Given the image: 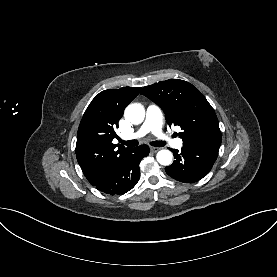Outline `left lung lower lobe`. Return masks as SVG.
Wrapping results in <instances>:
<instances>
[{
	"label": "left lung lower lobe",
	"mask_w": 277,
	"mask_h": 277,
	"mask_svg": "<svg viewBox=\"0 0 277 277\" xmlns=\"http://www.w3.org/2000/svg\"><path fill=\"white\" fill-rule=\"evenodd\" d=\"M220 145L221 141L183 144L181 152L172 150L176 160L165 170L169 176L178 181L196 182L211 170L217 159Z\"/></svg>",
	"instance_id": "1"
}]
</instances>
